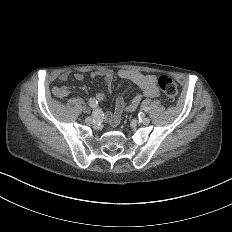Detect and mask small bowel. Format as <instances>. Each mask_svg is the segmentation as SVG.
Returning a JSON list of instances; mask_svg holds the SVG:
<instances>
[{
	"label": "small bowel",
	"mask_w": 232,
	"mask_h": 232,
	"mask_svg": "<svg viewBox=\"0 0 232 232\" xmlns=\"http://www.w3.org/2000/svg\"><path fill=\"white\" fill-rule=\"evenodd\" d=\"M118 76L121 79H131L135 81L143 91V94L152 97V98H158L160 96L159 90L156 87V84L158 82V76L154 73H143L139 70L134 69H120L118 70ZM93 75L95 76H101L103 77L106 82L109 84V92L110 93H117L118 89L114 85H112V82L115 77V71L112 69H99L93 72ZM69 78H73L77 81L82 80L83 76L81 73H71V72H63L60 74L59 79L61 81H66ZM71 88L68 86H53L51 88L52 93H67L70 92ZM105 98L104 90L99 89L97 92V99L103 100ZM142 95L137 94L135 95L130 103L127 106L128 111H133L137 108L139 103L141 102ZM125 109V98L123 95L118 96L117 98V106L114 113H108L106 116V119L108 123L111 125V127L115 126L116 122L119 120L121 113ZM112 130V128L110 129Z\"/></svg>",
	"instance_id": "obj_1"
}]
</instances>
